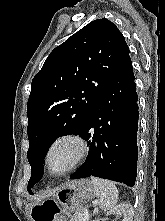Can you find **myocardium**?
Here are the masks:
<instances>
[{
  "mask_svg": "<svg viewBox=\"0 0 165 221\" xmlns=\"http://www.w3.org/2000/svg\"><path fill=\"white\" fill-rule=\"evenodd\" d=\"M64 141H70L76 145L77 147L76 157L74 161L72 162V164L65 170L59 171V172L53 171L50 167V162H49L50 153L57 144L64 142ZM87 152H88V144L85 138L81 134L76 133V132H66V133L60 134L50 142V144L48 145L46 149V152H45L46 168L51 175H54V176L66 175L74 171L81 164V162L86 157Z\"/></svg>",
  "mask_w": 165,
  "mask_h": 221,
  "instance_id": "obj_1",
  "label": "myocardium"
}]
</instances>
